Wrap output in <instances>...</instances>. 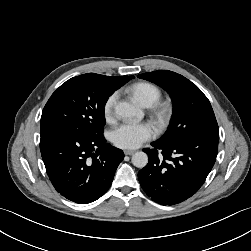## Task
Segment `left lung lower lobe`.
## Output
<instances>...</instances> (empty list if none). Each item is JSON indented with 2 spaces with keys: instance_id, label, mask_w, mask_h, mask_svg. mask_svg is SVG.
I'll return each instance as SVG.
<instances>
[{
  "instance_id": "obj_1",
  "label": "left lung lower lobe",
  "mask_w": 251,
  "mask_h": 251,
  "mask_svg": "<svg viewBox=\"0 0 251 251\" xmlns=\"http://www.w3.org/2000/svg\"><path fill=\"white\" fill-rule=\"evenodd\" d=\"M219 137L195 136L181 142L151 143L149 163L139 171L142 189L161 205H174L194 195L205 182L217 156ZM157 149L162 150L158 155Z\"/></svg>"
}]
</instances>
